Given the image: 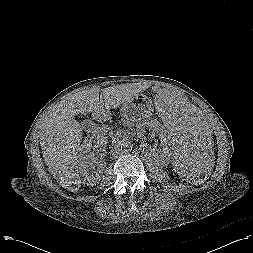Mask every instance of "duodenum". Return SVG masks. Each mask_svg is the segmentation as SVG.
Segmentation results:
<instances>
[{
    "label": "duodenum",
    "instance_id": "duodenum-1",
    "mask_svg": "<svg viewBox=\"0 0 253 253\" xmlns=\"http://www.w3.org/2000/svg\"><path fill=\"white\" fill-rule=\"evenodd\" d=\"M94 129V126L88 127V130L92 131Z\"/></svg>",
    "mask_w": 253,
    "mask_h": 253
}]
</instances>
